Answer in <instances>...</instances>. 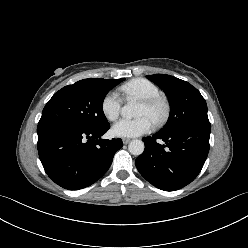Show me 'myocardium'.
Wrapping results in <instances>:
<instances>
[{"instance_id": "myocardium-1", "label": "myocardium", "mask_w": 248, "mask_h": 248, "mask_svg": "<svg viewBox=\"0 0 248 248\" xmlns=\"http://www.w3.org/2000/svg\"><path fill=\"white\" fill-rule=\"evenodd\" d=\"M141 103L150 110L156 111V115L152 120L155 126H160L166 121L169 113V106L165 98L162 96H155L142 99Z\"/></svg>"}]
</instances>
